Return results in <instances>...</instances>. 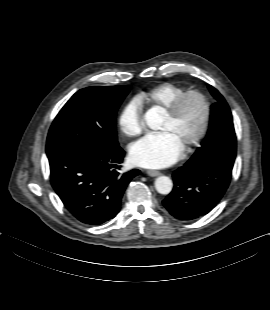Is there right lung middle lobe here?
I'll return each instance as SVG.
<instances>
[{"label":"right lung middle lobe","instance_id":"dd1d6c3e","mask_svg":"<svg viewBox=\"0 0 270 310\" xmlns=\"http://www.w3.org/2000/svg\"><path fill=\"white\" fill-rule=\"evenodd\" d=\"M130 86H93L79 90L60 110L49 130V143L119 146L115 117Z\"/></svg>","mask_w":270,"mask_h":310}]
</instances>
